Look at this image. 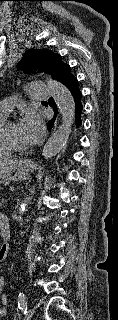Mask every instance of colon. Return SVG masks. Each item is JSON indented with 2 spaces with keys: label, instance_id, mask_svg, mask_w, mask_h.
Instances as JSON below:
<instances>
[{
  "label": "colon",
  "instance_id": "colon-1",
  "mask_svg": "<svg viewBox=\"0 0 118 320\" xmlns=\"http://www.w3.org/2000/svg\"><path fill=\"white\" fill-rule=\"evenodd\" d=\"M4 259V252H0V261Z\"/></svg>",
  "mask_w": 118,
  "mask_h": 320
}]
</instances>
